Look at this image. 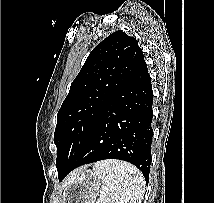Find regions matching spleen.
<instances>
[{
  "label": "spleen",
  "instance_id": "1",
  "mask_svg": "<svg viewBox=\"0 0 214 203\" xmlns=\"http://www.w3.org/2000/svg\"><path fill=\"white\" fill-rule=\"evenodd\" d=\"M93 171L102 180L97 203H141L145 180L135 166L118 160H104L97 162Z\"/></svg>",
  "mask_w": 214,
  "mask_h": 203
}]
</instances>
